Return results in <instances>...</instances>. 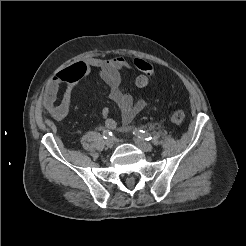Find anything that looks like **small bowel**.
I'll return each instance as SVG.
<instances>
[{
  "label": "small bowel",
  "mask_w": 246,
  "mask_h": 246,
  "mask_svg": "<svg viewBox=\"0 0 246 246\" xmlns=\"http://www.w3.org/2000/svg\"><path fill=\"white\" fill-rule=\"evenodd\" d=\"M93 68L98 69V76L109 86V96L121 111L122 123L129 124L145 108L146 102L141 98L134 99L122 87L121 71L130 68L129 62L122 56L110 59L87 58L57 72L44 92V109L55 120L64 119L69 113L71 97L76 83ZM61 85H65V91L58 102V92ZM102 115L105 126L108 129H115L117 123L109 118L107 107L102 109Z\"/></svg>",
  "instance_id": "c3829d8e"
}]
</instances>
